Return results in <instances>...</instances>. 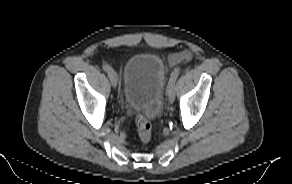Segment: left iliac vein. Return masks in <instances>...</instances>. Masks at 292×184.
Returning <instances> with one entry per match:
<instances>
[{"instance_id":"1","label":"left iliac vein","mask_w":292,"mask_h":184,"mask_svg":"<svg viewBox=\"0 0 292 184\" xmlns=\"http://www.w3.org/2000/svg\"><path fill=\"white\" fill-rule=\"evenodd\" d=\"M166 96L168 98V102L170 104H173L175 101V90H174V85L170 86L169 88H167L166 91Z\"/></svg>"}]
</instances>
